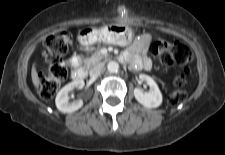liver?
Instances as JSON below:
<instances>
[{
    "mask_svg": "<svg viewBox=\"0 0 225 155\" xmlns=\"http://www.w3.org/2000/svg\"><path fill=\"white\" fill-rule=\"evenodd\" d=\"M31 76H32V81H33L34 86L38 87L40 81H39V78H38L37 71H36V69L34 67L32 68Z\"/></svg>",
    "mask_w": 225,
    "mask_h": 155,
    "instance_id": "6515ba94",
    "label": "liver"
}]
</instances>
